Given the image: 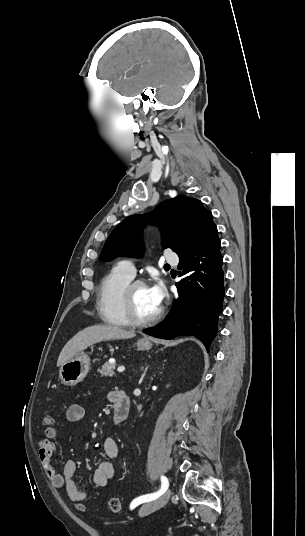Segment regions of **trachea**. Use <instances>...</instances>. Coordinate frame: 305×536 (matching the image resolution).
<instances>
[{
	"instance_id": "1",
	"label": "trachea",
	"mask_w": 305,
	"mask_h": 536,
	"mask_svg": "<svg viewBox=\"0 0 305 536\" xmlns=\"http://www.w3.org/2000/svg\"><path fill=\"white\" fill-rule=\"evenodd\" d=\"M164 266H165L166 269H170V268H171L170 265H167V264L164 265Z\"/></svg>"
}]
</instances>
